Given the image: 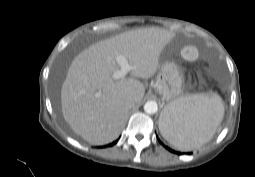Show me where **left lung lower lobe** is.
<instances>
[{
  "mask_svg": "<svg viewBox=\"0 0 255 177\" xmlns=\"http://www.w3.org/2000/svg\"><path fill=\"white\" fill-rule=\"evenodd\" d=\"M163 146H164L167 150H169L170 152H172V153L179 154V155L181 154L180 152L175 151V150L169 148L168 146H165L164 144H163ZM184 154H185V153H184ZM187 154H189V153H187Z\"/></svg>",
  "mask_w": 255,
  "mask_h": 177,
  "instance_id": "obj_1",
  "label": "left lung lower lobe"
}]
</instances>
